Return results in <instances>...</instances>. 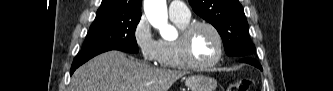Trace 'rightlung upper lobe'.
I'll return each mask as SVG.
<instances>
[{"mask_svg": "<svg viewBox=\"0 0 333 91\" xmlns=\"http://www.w3.org/2000/svg\"><path fill=\"white\" fill-rule=\"evenodd\" d=\"M126 15H141V0H103L96 18Z\"/></svg>", "mask_w": 333, "mask_h": 91, "instance_id": "cb5924a9", "label": "right lung upper lobe"}]
</instances>
